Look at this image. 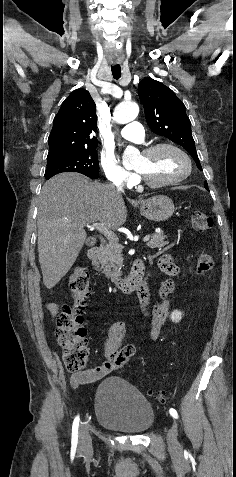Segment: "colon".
<instances>
[{
  "label": "colon",
  "mask_w": 236,
  "mask_h": 477,
  "mask_svg": "<svg viewBox=\"0 0 236 477\" xmlns=\"http://www.w3.org/2000/svg\"><path fill=\"white\" fill-rule=\"evenodd\" d=\"M212 225V219L206 213L199 211L192 213L191 226L195 232H206L212 228ZM213 268V256L209 253H201L196 265L198 274L206 276ZM69 288L73 304L63 306L55 318L57 325L56 338L59 346L63 349V361L66 368L71 372H80L85 368L88 356L82 313L88 305L92 292L91 277L85 267L74 268L69 278ZM132 356L129 357L126 352H121L114 360L113 365L120 368ZM158 398L164 400L165 395L159 393Z\"/></svg>",
  "instance_id": "5ec220e1"
}]
</instances>
